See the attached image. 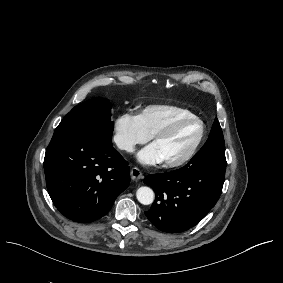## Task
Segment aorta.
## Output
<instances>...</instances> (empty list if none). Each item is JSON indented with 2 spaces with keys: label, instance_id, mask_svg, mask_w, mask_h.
<instances>
[{
  "label": "aorta",
  "instance_id": "aorta-1",
  "mask_svg": "<svg viewBox=\"0 0 283 283\" xmlns=\"http://www.w3.org/2000/svg\"><path fill=\"white\" fill-rule=\"evenodd\" d=\"M137 200L143 205L152 204L155 198L153 190L149 187H140L136 192Z\"/></svg>",
  "mask_w": 283,
  "mask_h": 283
}]
</instances>
